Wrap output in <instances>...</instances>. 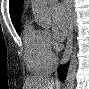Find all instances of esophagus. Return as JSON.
I'll list each match as a JSON object with an SVG mask.
<instances>
[{"label":"esophagus","instance_id":"obj_1","mask_svg":"<svg viewBox=\"0 0 89 89\" xmlns=\"http://www.w3.org/2000/svg\"><path fill=\"white\" fill-rule=\"evenodd\" d=\"M65 7H66V12L68 16V33H67V41H66V47L63 53V57L61 60V64H64L68 61L71 51H72V45H73V13H72V6H71V1L67 0L65 1Z\"/></svg>","mask_w":89,"mask_h":89}]
</instances>
